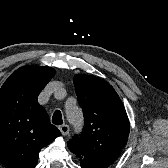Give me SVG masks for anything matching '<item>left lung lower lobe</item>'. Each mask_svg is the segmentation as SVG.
<instances>
[{"label":"left lung lower lobe","mask_w":168,"mask_h":168,"mask_svg":"<svg viewBox=\"0 0 168 168\" xmlns=\"http://www.w3.org/2000/svg\"><path fill=\"white\" fill-rule=\"evenodd\" d=\"M79 159L82 168H106L105 166L100 165L99 163H96L87 158H79Z\"/></svg>","instance_id":"left-lung-lower-lobe-1"}]
</instances>
